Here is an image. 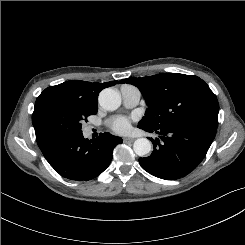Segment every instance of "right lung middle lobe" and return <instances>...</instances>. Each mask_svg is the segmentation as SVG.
Listing matches in <instances>:
<instances>
[{"label": "right lung middle lobe", "instance_id": "1", "mask_svg": "<svg viewBox=\"0 0 245 245\" xmlns=\"http://www.w3.org/2000/svg\"><path fill=\"white\" fill-rule=\"evenodd\" d=\"M96 113V105L86 104L59 89L46 88L38 96L32 114L36 139L47 143L56 137L82 133L81 121Z\"/></svg>", "mask_w": 245, "mask_h": 245}]
</instances>
